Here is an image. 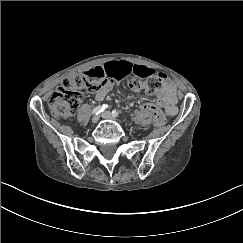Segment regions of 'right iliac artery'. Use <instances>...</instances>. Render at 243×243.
<instances>
[{
  "mask_svg": "<svg viewBox=\"0 0 243 243\" xmlns=\"http://www.w3.org/2000/svg\"><path fill=\"white\" fill-rule=\"evenodd\" d=\"M108 105H100V106H97L93 109L92 113L95 114V115H98L99 113L103 112L105 109H107Z\"/></svg>",
  "mask_w": 243,
  "mask_h": 243,
  "instance_id": "82829eb1",
  "label": "right iliac artery"
}]
</instances>
